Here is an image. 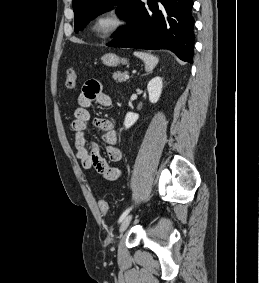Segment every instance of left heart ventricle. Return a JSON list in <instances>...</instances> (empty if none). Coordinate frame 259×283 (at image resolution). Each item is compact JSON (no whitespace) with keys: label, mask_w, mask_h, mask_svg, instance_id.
Listing matches in <instances>:
<instances>
[{"label":"left heart ventricle","mask_w":259,"mask_h":283,"mask_svg":"<svg viewBox=\"0 0 259 283\" xmlns=\"http://www.w3.org/2000/svg\"><path fill=\"white\" fill-rule=\"evenodd\" d=\"M112 25V21L110 19H104L100 21L97 25V31L98 32H104L108 30Z\"/></svg>","instance_id":"obj_1"}]
</instances>
